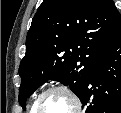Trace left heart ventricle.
Wrapping results in <instances>:
<instances>
[{"label": "left heart ventricle", "instance_id": "obj_1", "mask_svg": "<svg viewBox=\"0 0 121 113\" xmlns=\"http://www.w3.org/2000/svg\"><path fill=\"white\" fill-rule=\"evenodd\" d=\"M72 101L62 92H56L45 98L41 110L47 112H67L73 109Z\"/></svg>", "mask_w": 121, "mask_h": 113}]
</instances>
